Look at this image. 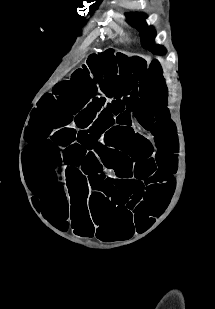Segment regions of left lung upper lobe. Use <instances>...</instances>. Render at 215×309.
I'll use <instances>...</instances> for the list:
<instances>
[{
  "label": "left lung upper lobe",
  "instance_id": "left-lung-upper-lobe-1",
  "mask_svg": "<svg viewBox=\"0 0 215 309\" xmlns=\"http://www.w3.org/2000/svg\"><path fill=\"white\" fill-rule=\"evenodd\" d=\"M128 16L132 24L135 25L140 31L141 42L144 47H147L150 51L154 53H161L165 50L163 46L154 45L153 40L155 37V31L151 27L143 25V20L146 17L144 14L131 13Z\"/></svg>",
  "mask_w": 215,
  "mask_h": 309
}]
</instances>
